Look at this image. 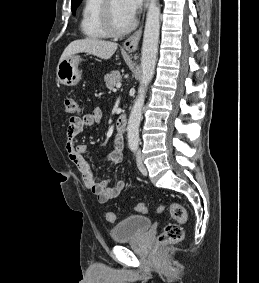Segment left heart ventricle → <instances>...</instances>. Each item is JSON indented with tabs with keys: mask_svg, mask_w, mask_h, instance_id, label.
Segmentation results:
<instances>
[{
	"mask_svg": "<svg viewBox=\"0 0 259 283\" xmlns=\"http://www.w3.org/2000/svg\"><path fill=\"white\" fill-rule=\"evenodd\" d=\"M112 12L117 27L124 28L131 22L122 8L121 0H112Z\"/></svg>",
	"mask_w": 259,
	"mask_h": 283,
	"instance_id": "obj_1",
	"label": "left heart ventricle"
}]
</instances>
